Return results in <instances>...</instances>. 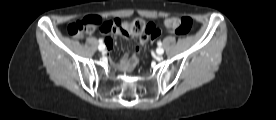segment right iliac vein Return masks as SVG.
Here are the masks:
<instances>
[{"mask_svg": "<svg viewBox=\"0 0 276 120\" xmlns=\"http://www.w3.org/2000/svg\"><path fill=\"white\" fill-rule=\"evenodd\" d=\"M98 49H99V51H104L105 45H104V44L99 45V46H98Z\"/></svg>", "mask_w": 276, "mask_h": 120, "instance_id": "right-iliac-vein-1", "label": "right iliac vein"}]
</instances>
